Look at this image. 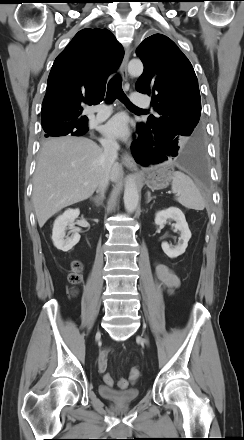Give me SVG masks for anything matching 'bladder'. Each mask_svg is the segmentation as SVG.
Wrapping results in <instances>:
<instances>
[{
  "mask_svg": "<svg viewBox=\"0 0 244 440\" xmlns=\"http://www.w3.org/2000/svg\"><path fill=\"white\" fill-rule=\"evenodd\" d=\"M98 391L104 399L118 404L135 402L140 394L136 388L116 390L106 385H99Z\"/></svg>",
  "mask_w": 244,
  "mask_h": 440,
  "instance_id": "1",
  "label": "bladder"
}]
</instances>
